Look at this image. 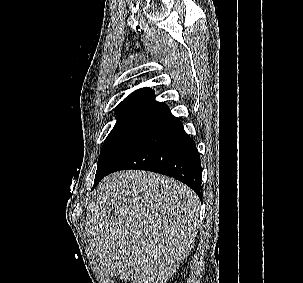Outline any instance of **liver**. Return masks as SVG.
Instances as JSON below:
<instances>
[{"instance_id":"6515ba94","label":"liver","mask_w":303,"mask_h":283,"mask_svg":"<svg viewBox=\"0 0 303 283\" xmlns=\"http://www.w3.org/2000/svg\"><path fill=\"white\" fill-rule=\"evenodd\" d=\"M200 200L164 175L127 170L103 178L87 209L103 271L132 283H166L193 248Z\"/></svg>"}]
</instances>
